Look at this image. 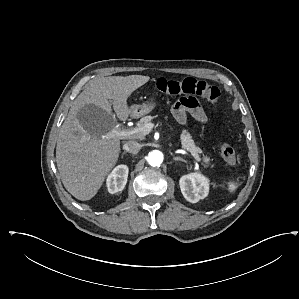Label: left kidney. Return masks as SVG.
<instances>
[{
    "mask_svg": "<svg viewBox=\"0 0 299 299\" xmlns=\"http://www.w3.org/2000/svg\"><path fill=\"white\" fill-rule=\"evenodd\" d=\"M179 185L184 198L191 203H197L209 193V179L200 173L182 176Z\"/></svg>",
    "mask_w": 299,
    "mask_h": 299,
    "instance_id": "5707ae66",
    "label": "left kidney"
}]
</instances>
